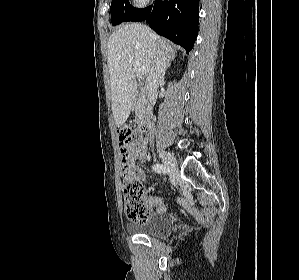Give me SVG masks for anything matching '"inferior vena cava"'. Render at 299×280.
Returning a JSON list of instances; mask_svg holds the SVG:
<instances>
[{"mask_svg":"<svg viewBox=\"0 0 299 280\" xmlns=\"http://www.w3.org/2000/svg\"><path fill=\"white\" fill-rule=\"evenodd\" d=\"M166 66V55L157 51V55L154 59L152 69L148 74L145 85L148 99L152 105L156 103L157 88L164 80Z\"/></svg>","mask_w":299,"mask_h":280,"instance_id":"obj_1","label":"inferior vena cava"}]
</instances>
